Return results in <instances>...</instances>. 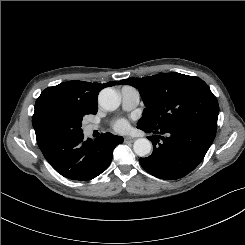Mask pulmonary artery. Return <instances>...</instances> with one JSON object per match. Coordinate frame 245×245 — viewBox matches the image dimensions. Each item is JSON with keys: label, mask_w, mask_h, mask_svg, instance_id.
I'll list each match as a JSON object with an SVG mask.
<instances>
[{"label": "pulmonary artery", "mask_w": 245, "mask_h": 245, "mask_svg": "<svg viewBox=\"0 0 245 245\" xmlns=\"http://www.w3.org/2000/svg\"><path fill=\"white\" fill-rule=\"evenodd\" d=\"M121 100L123 109L131 110L138 105L140 100V93L132 86H123L121 88ZM95 129H97L96 125L90 124L87 126L88 132H91Z\"/></svg>", "instance_id": "obj_1"}]
</instances>
